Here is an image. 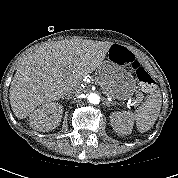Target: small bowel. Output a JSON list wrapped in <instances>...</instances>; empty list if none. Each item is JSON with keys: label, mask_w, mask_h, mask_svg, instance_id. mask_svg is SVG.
<instances>
[{"label": "small bowel", "mask_w": 178, "mask_h": 178, "mask_svg": "<svg viewBox=\"0 0 178 178\" xmlns=\"http://www.w3.org/2000/svg\"><path fill=\"white\" fill-rule=\"evenodd\" d=\"M117 51H118V57H117V59H118L119 61H121V62L127 63V62H131V61L134 59L132 53L129 52V51H128L127 49H125V48L119 47V48L117 49Z\"/></svg>", "instance_id": "c3829d8e"}]
</instances>
